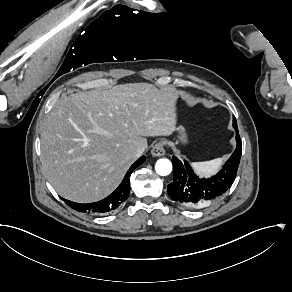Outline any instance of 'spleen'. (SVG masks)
Returning a JSON list of instances; mask_svg holds the SVG:
<instances>
[{"mask_svg": "<svg viewBox=\"0 0 292 292\" xmlns=\"http://www.w3.org/2000/svg\"><path fill=\"white\" fill-rule=\"evenodd\" d=\"M224 159L225 157L216 158L205 162H193L191 163V166L200 177H209L216 174L220 170Z\"/></svg>", "mask_w": 292, "mask_h": 292, "instance_id": "3e777b00", "label": "spleen"}]
</instances>
